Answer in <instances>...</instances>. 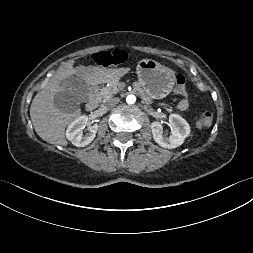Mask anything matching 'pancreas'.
Segmentation results:
<instances>
[{"label": "pancreas", "mask_w": 253, "mask_h": 253, "mask_svg": "<svg viewBox=\"0 0 253 253\" xmlns=\"http://www.w3.org/2000/svg\"><path fill=\"white\" fill-rule=\"evenodd\" d=\"M122 87H123V84L111 83L109 86H107V87L100 90L99 98L105 100V99L115 95L119 90H121ZM167 111L171 112L172 109L167 108Z\"/></svg>", "instance_id": "obj_1"}]
</instances>
